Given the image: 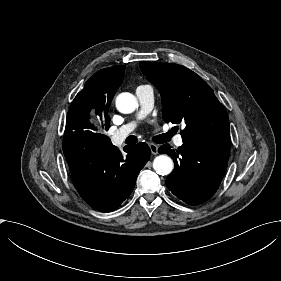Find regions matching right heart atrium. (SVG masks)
Instances as JSON below:
<instances>
[{"label":"right heart atrium","instance_id":"obj_1","mask_svg":"<svg viewBox=\"0 0 281 281\" xmlns=\"http://www.w3.org/2000/svg\"><path fill=\"white\" fill-rule=\"evenodd\" d=\"M120 96H121V95H119V96L117 97V100H118V98H119ZM117 100H116V103H117ZM122 100H123V104H124V105H127V103H128V96H127V95H123Z\"/></svg>","mask_w":281,"mask_h":281}]
</instances>
